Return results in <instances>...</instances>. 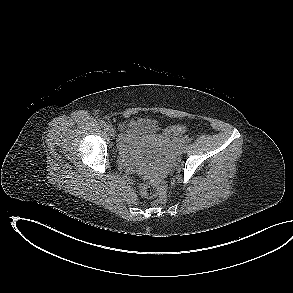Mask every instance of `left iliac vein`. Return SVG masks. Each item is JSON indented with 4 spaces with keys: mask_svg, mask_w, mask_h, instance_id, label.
<instances>
[{
    "mask_svg": "<svg viewBox=\"0 0 293 293\" xmlns=\"http://www.w3.org/2000/svg\"><path fill=\"white\" fill-rule=\"evenodd\" d=\"M181 151L183 152V153H185L186 151H187V147H186V145H181Z\"/></svg>",
    "mask_w": 293,
    "mask_h": 293,
    "instance_id": "obj_1",
    "label": "left iliac vein"
}]
</instances>
